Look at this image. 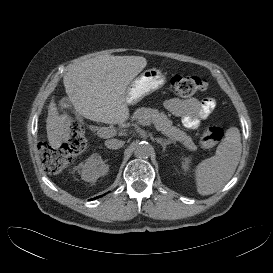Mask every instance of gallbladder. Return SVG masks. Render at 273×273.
I'll return each mask as SVG.
<instances>
[{
  "label": "gallbladder",
  "instance_id": "bac80fb5",
  "mask_svg": "<svg viewBox=\"0 0 273 273\" xmlns=\"http://www.w3.org/2000/svg\"><path fill=\"white\" fill-rule=\"evenodd\" d=\"M62 101H60V106L61 107H63V108H65V109H67V110H69V111H71L72 112V114L74 115V117H76L75 119H76V121L78 122V123H83V118H82V116H81V114H79L80 112H79V110H77L76 109V107L75 106H73L72 104H70V100L67 98V97H62V99H61Z\"/></svg>",
  "mask_w": 273,
  "mask_h": 273
}]
</instances>
